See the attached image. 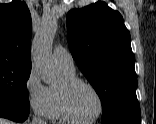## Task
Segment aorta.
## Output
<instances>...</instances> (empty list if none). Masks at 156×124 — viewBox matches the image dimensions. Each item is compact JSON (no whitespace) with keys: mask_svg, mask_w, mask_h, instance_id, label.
<instances>
[{"mask_svg":"<svg viewBox=\"0 0 156 124\" xmlns=\"http://www.w3.org/2000/svg\"><path fill=\"white\" fill-rule=\"evenodd\" d=\"M55 20H43L32 43V58L34 65L40 72L44 83L50 84L56 80L59 72L56 69L51 46L56 33Z\"/></svg>","mask_w":156,"mask_h":124,"instance_id":"762f6f07","label":"aorta"}]
</instances>
